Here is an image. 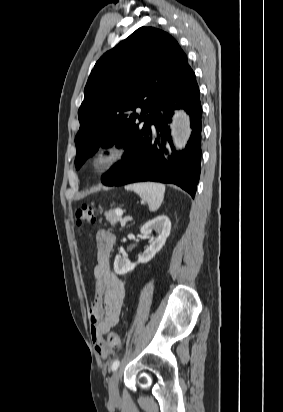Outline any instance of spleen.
<instances>
[{
  "label": "spleen",
  "instance_id": "spleen-1",
  "mask_svg": "<svg viewBox=\"0 0 283 412\" xmlns=\"http://www.w3.org/2000/svg\"><path fill=\"white\" fill-rule=\"evenodd\" d=\"M125 189L136 192L142 200L148 203L151 212L157 211L164 199L165 186L161 183H134L127 185Z\"/></svg>",
  "mask_w": 283,
  "mask_h": 412
}]
</instances>
